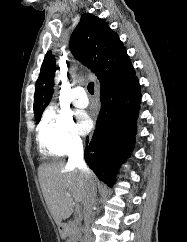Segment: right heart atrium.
Instances as JSON below:
<instances>
[{"mask_svg":"<svg viewBox=\"0 0 187 242\" xmlns=\"http://www.w3.org/2000/svg\"><path fill=\"white\" fill-rule=\"evenodd\" d=\"M38 137L41 148L54 156L76 152L82 146L71 114L52 106L42 116Z\"/></svg>","mask_w":187,"mask_h":242,"instance_id":"1","label":"right heart atrium"}]
</instances>
